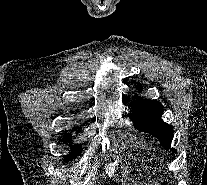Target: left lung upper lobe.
Masks as SVG:
<instances>
[{
	"mask_svg": "<svg viewBox=\"0 0 207 185\" xmlns=\"http://www.w3.org/2000/svg\"><path fill=\"white\" fill-rule=\"evenodd\" d=\"M141 89V86L138 87ZM163 106L155 100L136 97L132 104L131 120L140 131L157 137L161 145L169 149L173 139V127L161 120ZM173 152H177L172 149Z\"/></svg>",
	"mask_w": 207,
	"mask_h": 185,
	"instance_id": "left-lung-upper-lobe-1",
	"label": "left lung upper lobe"
}]
</instances>
